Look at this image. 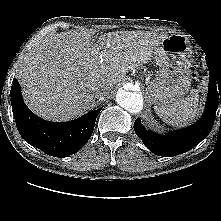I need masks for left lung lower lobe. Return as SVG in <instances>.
Instances as JSON below:
<instances>
[{"instance_id":"left-lung-lower-lobe-1","label":"left lung lower lobe","mask_w":221,"mask_h":221,"mask_svg":"<svg viewBox=\"0 0 221 221\" xmlns=\"http://www.w3.org/2000/svg\"><path fill=\"white\" fill-rule=\"evenodd\" d=\"M219 103L221 104V84L210 70L206 108L201 119L192 126L162 136L146 130L140 119L137 118L134 123L135 133L146 147L158 156L170 157L182 154L208 136L213 127Z\"/></svg>"}]
</instances>
